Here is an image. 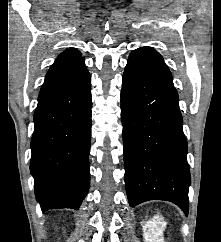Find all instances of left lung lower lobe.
<instances>
[{
  "label": "left lung lower lobe",
  "mask_w": 221,
  "mask_h": 242,
  "mask_svg": "<svg viewBox=\"0 0 221 242\" xmlns=\"http://www.w3.org/2000/svg\"><path fill=\"white\" fill-rule=\"evenodd\" d=\"M121 119L129 205L167 200L187 215L190 170L175 87L127 65Z\"/></svg>",
  "instance_id": "left-lung-lower-lobe-1"
}]
</instances>
